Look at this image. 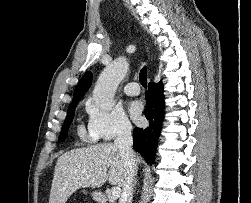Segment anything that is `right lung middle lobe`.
Masks as SVG:
<instances>
[{
    "label": "right lung middle lobe",
    "instance_id": "right-lung-middle-lobe-1",
    "mask_svg": "<svg viewBox=\"0 0 251 203\" xmlns=\"http://www.w3.org/2000/svg\"><path fill=\"white\" fill-rule=\"evenodd\" d=\"M76 105H77V102L70 104L69 107H68L67 117L65 119V122L63 124L62 129H61V134L59 136L60 141L65 140L66 137H67L68 128H69V126H70V124H71V122L73 120L74 110L76 108Z\"/></svg>",
    "mask_w": 251,
    "mask_h": 203
}]
</instances>
